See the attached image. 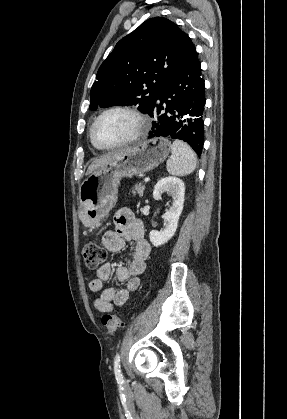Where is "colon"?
I'll return each instance as SVG.
<instances>
[{
    "instance_id": "obj_1",
    "label": "colon",
    "mask_w": 287,
    "mask_h": 419,
    "mask_svg": "<svg viewBox=\"0 0 287 419\" xmlns=\"http://www.w3.org/2000/svg\"><path fill=\"white\" fill-rule=\"evenodd\" d=\"M83 257L86 268L96 270L106 261L107 252L99 243L89 241L83 247ZM101 321L107 332L114 334L121 326V315L119 313H106L102 316Z\"/></svg>"
}]
</instances>
